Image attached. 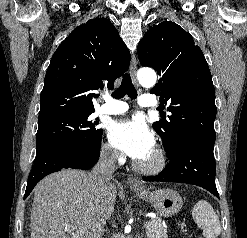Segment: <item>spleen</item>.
Wrapping results in <instances>:
<instances>
[{"label":"spleen","mask_w":247,"mask_h":238,"mask_svg":"<svg viewBox=\"0 0 247 238\" xmlns=\"http://www.w3.org/2000/svg\"><path fill=\"white\" fill-rule=\"evenodd\" d=\"M192 216L194 221L202 228L205 238H217L220 235L219 217L207 201H198L193 208Z\"/></svg>","instance_id":"3e777b00"}]
</instances>
